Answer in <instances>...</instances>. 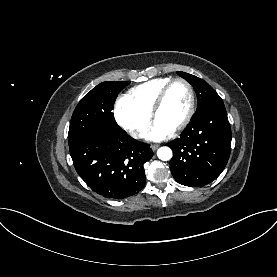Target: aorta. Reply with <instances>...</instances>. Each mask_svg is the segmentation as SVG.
Instances as JSON below:
<instances>
[{"label":"aorta","mask_w":277,"mask_h":277,"mask_svg":"<svg viewBox=\"0 0 277 277\" xmlns=\"http://www.w3.org/2000/svg\"><path fill=\"white\" fill-rule=\"evenodd\" d=\"M157 156L162 161H168L172 158V150L169 147H161L157 151Z\"/></svg>","instance_id":"aorta-1"}]
</instances>
